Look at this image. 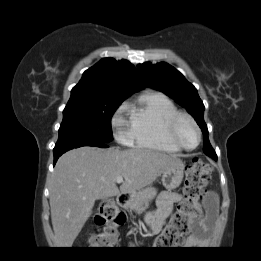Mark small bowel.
Instances as JSON below:
<instances>
[{
	"mask_svg": "<svg viewBox=\"0 0 261 261\" xmlns=\"http://www.w3.org/2000/svg\"><path fill=\"white\" fill-rule=\"evenodd\" d=\"M181 199L182 196L175 192H162L160 194L157 208L148 217L149 227L153 233H158L162 229L173 214L175 204ZM204 208L205 216L196 218L192 223L193 234L186 240V247L191 248L202 244L214 225L217 216V203L214 194L209 193L206 196Z\"/></svg>",
	"mask_w": 261,
	"mask_h": 261,
	"instance_id": "1",
	"label": "small bowel"
}]
</instances>
